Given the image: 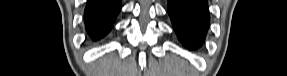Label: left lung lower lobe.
Returning a JSON list of instances; mask_svg holds the SVG:
<instances>
[{
    "mask_svg": "<svg viewBox=\"0 0 287 76\" xmlns=\"http://www.w3.org/2000/svg\"><path fill=\"white\" fill-rule=\"evenodd\" d=\"M168 13L180 42L198 48L209 27L207 0H168Z\"/></svg>",
    "mask_w": 287,
    "mask_h": 76,
    "instance_id": "left-lung-lower-lobe-1",
    "label": "left lung lower lobe"
}]
</instances>
